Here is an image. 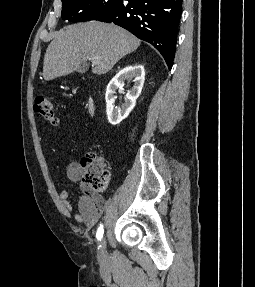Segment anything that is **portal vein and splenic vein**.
Masks as SVG:
<instances>
[{"mask_svg":"<svg viewBox=\"0 0 255 287\" xmlns=\"http://www.w3.org/2000/svg\"><path fill=\"white\" fill-rule=\"evenodd\" d=\"M92 64H99L98 58H90Z\"/></svg>","mask_w":255,"mask_h":287,"instance_id":"obj_1","label":"portal vein and splenic vein"}]
</instances>
